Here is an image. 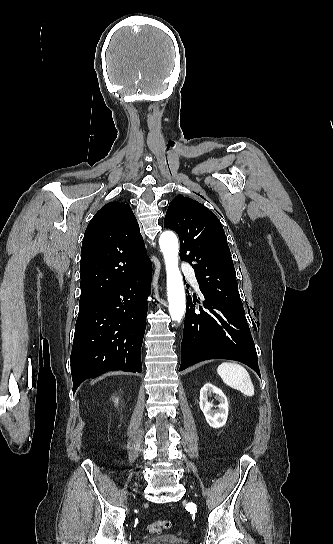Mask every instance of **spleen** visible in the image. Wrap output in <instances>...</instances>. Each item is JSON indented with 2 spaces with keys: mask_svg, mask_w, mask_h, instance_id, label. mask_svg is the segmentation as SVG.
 <instances>
[{
  "mask_svg": "<svg viewBox=\"0 0 333 544\" xmlns=\"http://www.w3.org/2000/svg\"><path fill=\"white\" fill-rule=\"evenodd\" d=\"M217 373L223 382L239 390L244 395L252 397L255 394L254 386L247 370L236 362H223L217 368Z\"/></svg>",
  "mask_w": 333,
  "mask_h": 544,
  "instance_id": "spleen-1",
  "label": "spleen"
}]
</instances>
